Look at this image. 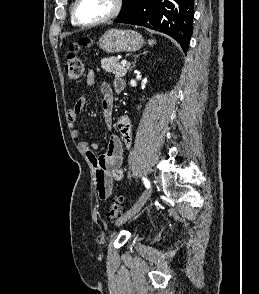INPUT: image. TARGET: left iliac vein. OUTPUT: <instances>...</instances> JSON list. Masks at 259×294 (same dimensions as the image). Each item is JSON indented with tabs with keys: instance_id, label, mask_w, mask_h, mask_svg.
I'll use <instances>...</instances> for the list:
<instances>
[{
	"instance_id": "left-iliac-vein-1",
	"label": "left iliac vein",
	"mask_w": 259,
	"mask_h": 294,
	"mask_svg": "<svg viewBox=\"0 0 259 294\" xmlns=\"http://www.w3.org/2000/svg\"><path fill=\"white\" fill-rule=\"evenodd\" d=\"M152 182L149 188H147L142 196L140 197V199L135 203L134 206H132L127 212H125L120 218L117 219L115 225L116 226H121L122 224H124L125 222H127L128 220H130L134 215H136L141 208L144 206V204L147 202V200L149 199L151 193H152Z\"/></svg>"
}]
</instances>
